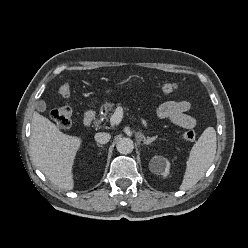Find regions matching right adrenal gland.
<instances>
[{
  "instance_id": "right-adrenal-gland-1",
  "label": "right adrenal gland",
  "mask_w": 248,
  "mask_h": 248,
  "mask_svg": "<svg viewBox=\"0 0 248 248\" xmlns=\"http://www.w3.org/2000/svg\"><path fill=\"white\" fill-rule=\"evenodd\" d=\"M97 146H98V147H101V148H103V146H102V145H100V144H97Z\"/></svg>"
}]
</instances>
